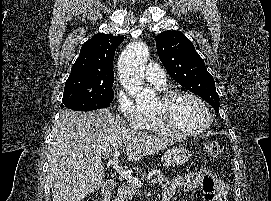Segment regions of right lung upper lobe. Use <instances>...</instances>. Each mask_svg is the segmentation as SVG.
Listing matches in <instances>:
<instances>
[{
	"mask_svg": "<svg viewBox=\"0 0 271 201\" xmlns=\"http://www.w3.org/2000/svg\"><path fill=\"white\" fill-rule=\"evenodd\" d=\"M124 36L98 33L86 41L80 55L72 66L71 73L114 74L113 59L116 48Z\"/></svg>",
	"mask_w": 271,
	"mask_h": 201,
	"instance_id": "1",
	"label": "right lung upper lobe"
}]
</instances>
